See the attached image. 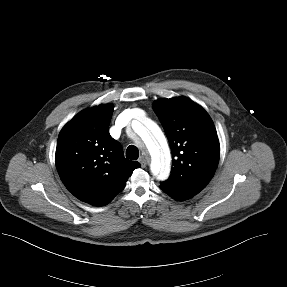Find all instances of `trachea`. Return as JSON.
Masks as SVG:
<instances>
[{"instance_id":"obj_1","label":"trachea","mask_w":287,"mask_h":287,"mask_svg":"<svg viewBox=\"0 0 287 287\" xmlns=\"http://www.w3.org/2000/svg\"><path fill=\"white\" fill-rule=\"evenodd\" d=\"M126 157L131 160H136L139 157V150L136 146L130 145L126 150Z\"/></svg>"}]
</instances>
